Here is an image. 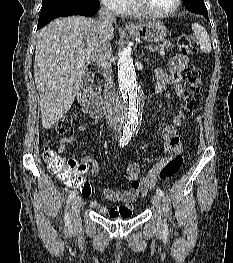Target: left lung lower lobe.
Wrapping results in <instances>:
<instances>
[{"mask_svg":"<svg viewBox=\"0 0 233 263\" xmlns=\"http://www.w3.org/2000/svg\"><path fill=\"white\" fill-rule=\"evenodd\" d=\"M202 15L205 16V18H207L209 20L207 12L202 13Z\"/></svg>","mask_w":233,"mask_h":263,"instance_id":"left-lung-lower-lobe-1","label":"left lung lower lobe"}]
</instances>
